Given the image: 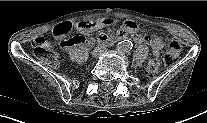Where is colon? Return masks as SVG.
I'll use <instances>...</instances> for the list:
<instances>
[{
    "mask_svg": "<svg viewBox=\"0 0 207 123\" xmlns=\"http://www.w3.org/2000/svg\"><path fill=\"white\" fill-rule=\"evenodd\" d=\"M71 33L72 25L68 22L57 25L53 30L54 37L58 39L63 46H71L81 42L80 37H72ZM32 47L34 55L38 59L50 66H57V56L54 54L51 45L44 36L36 37L33 41ZM181 52L182 45L178 41L171 40L168 49L163 56H155L148 62L147 72L154 74L163 66H173L177 62Z\"/></svg>",
    "mask_w": 207,
    "mask_h": 123,
    "instance_id": "5ec220e1",
    "label": "colon"
}]
</instances>
